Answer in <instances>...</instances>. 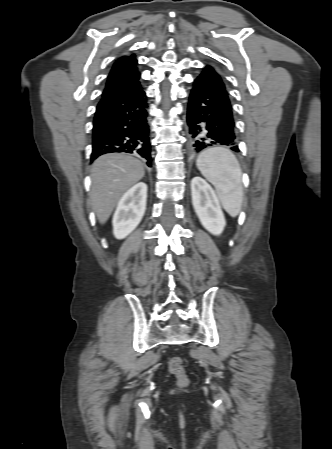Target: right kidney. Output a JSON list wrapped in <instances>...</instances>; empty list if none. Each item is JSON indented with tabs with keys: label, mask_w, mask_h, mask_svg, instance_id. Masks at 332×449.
Segmentation results:
<instances>
[{
	"label": "right kidney",
	"mask_w": 332,
	"mask_h": 449,
	"mask_svg": "<svg viewBox=\"0 0 332 449\" xmlns=\"http://www.w3.org/2000/svg\"><path fill=\"white\" fill-rule=\"evenodd\" d=\"M147 201V185L139 182L119 200L113 215V234L117 239L127 237L141 222Z\"/></svg>",
	"instance_id": "1"
}]
</instances>
